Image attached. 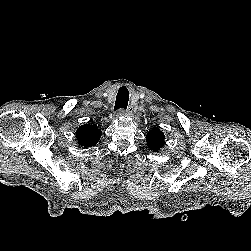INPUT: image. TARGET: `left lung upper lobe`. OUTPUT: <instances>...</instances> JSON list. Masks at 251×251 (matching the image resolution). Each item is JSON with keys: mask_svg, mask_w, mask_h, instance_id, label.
<instances>
[{"mask_svg": "<svg viewBox=\"0 0 251 251\" xmlns=\"http://www.w3.org/2000/svg\"><path fill=\"white\" fill-rule=\"evenodd\" d=\"M146 142L151 150L157 152L165 145V135L160 129L154 128L146 135Z\"/></svg>", "mask_w": 251, "mask_h": 251, "instance_id": "1", "label": "left lung upper lobe"}]
</instances>
